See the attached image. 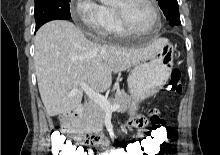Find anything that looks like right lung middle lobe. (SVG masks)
<instances>
[{
    "label": "right lung middle lobe",
    "mask_w": 220,
    "mask_h": 155,
    "mask_svg": "<svg viewBox=\"0 0 220 155\" xmlns=\"http://www.w3.org/2000/svg\"><path fill=\"white\" fill-rule=\"evenodd\" d=\"M69 2L70 0H35L36 27L55 19L69 20Z\"/></svg>",
    "instance_id": "1"
}]
</instances>
